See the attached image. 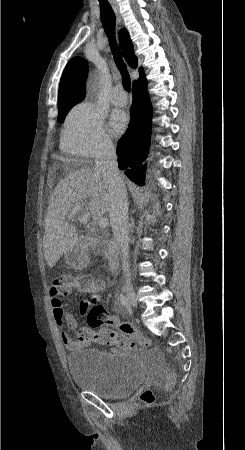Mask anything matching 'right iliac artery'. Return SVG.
Masks as SVG:
<instances>
[{
	"label": "right iliac artery",
	"instance_id": "1",
	"mask_svg": "<svg viewBox=\"0 0 245 450\" xmlns=\"http://www.w3.org/2000/svg\"><path fill=\"white\" fill-rule=\"evenodd\" d=\"M120 302L125 308H128V299L125 295L120 294Z\"/></svg>",
	"mask_w": 245,
	"mask_h": 450
}]
</instances>
